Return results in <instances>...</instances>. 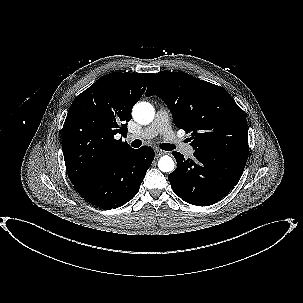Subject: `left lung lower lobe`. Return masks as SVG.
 <instances>
[{
    "mask_svg": "<svg viewBox=\"0 0 303 303\" xmlns=\"http://www.w3.org/2000/svg\"><path fill=\"white\" fill-rule=\"evenodd\" d=\"M177 168L169 175L175 194L196 206H209L218 202L239 181L246 156L217 153H193V159H184L179 152H172Z\"/></svg>",
    "mask_w": 303,
    "mask_h": 303,
    "instance_id": "0a47b994",
    "label": "left lung lower lobe"
}]
</instances>
